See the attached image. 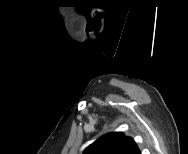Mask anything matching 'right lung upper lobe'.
Masks as SVG:
<instances>
[{
	"instance_id": "1",
	"label": "right lung upper lobe",
	"mask_w": 188,
	"mask_h": 154,
	"mask_svg": "<svg viewBox=\"0 0 188 154\" xmlns=\"http://www.w3.org/2000/svg\"><path fill=\"white\" fill-rule=\"evenodd\" d=\"M83 154H140V151L131 137L115 132L100 137Z\"/></svg>"
}]
</instances>
